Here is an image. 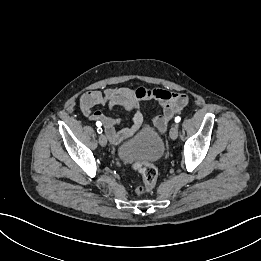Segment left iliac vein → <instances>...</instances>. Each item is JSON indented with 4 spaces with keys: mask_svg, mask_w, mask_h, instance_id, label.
Instances as JSON below:
<instances>
[{
    "mask_svg": "<svg viewBox=\"0 0 261 261\" xmlns=\"http://www.w3.org/2000/svg\"><path fill=\"white\" fill-rule=\"evenodd\" d=\"M178 124H174L170 129V137L175 140L178 137Z\"/></svg>",
    "mask_w": 261,
    "mask_h": 261,
    "instance_id": "1",
    "label": "left iliac vein"
}]
</instances>
